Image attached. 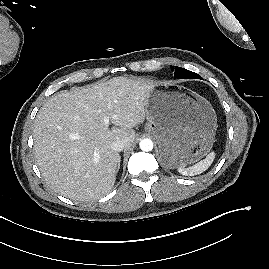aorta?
Listing matches in <instances>:
<instances>
[{
	"label": "aorta",
	"mask_w": 269,
	"mask_h": 269,
	"mask_svg": "<svg viewBox=\"0 0 269 269\" xmlns=\"http://www.w3.org/2000/svg\"><path fill=\"white\" fill-rule=\"evenodd\" d=\"M139 146L142 151L148 152L153 149V142L151 139L145 138L140 141Z\"/></svg>",
	"instance_id": "aorta-1"
}]
</instances>
